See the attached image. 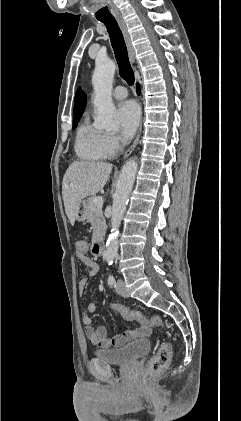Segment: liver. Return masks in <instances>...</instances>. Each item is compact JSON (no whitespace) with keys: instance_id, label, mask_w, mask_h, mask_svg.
<instances>
[{"instance_id":"liver-1","label":"liver","mask_w":241,"mask_h":421,"mask_svg":"<svg viewBox=\"0 0 241 421\" xmlns=\"http://www.w3.org/2000/svg\"><path fill=\"white\" fill-rule=\"evenodd\" d=\"M112 164L106 162L76 161L70 164L62 183V197L66 215L75 223V211L82 199L101 191L109 181Z\"/></svg>"}]
</instances>
